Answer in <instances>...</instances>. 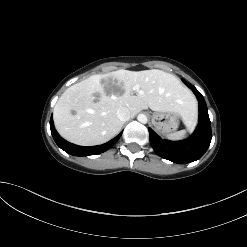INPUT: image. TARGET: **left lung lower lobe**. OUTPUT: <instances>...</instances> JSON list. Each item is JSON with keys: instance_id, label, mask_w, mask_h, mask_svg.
<instances>
[{"instance_id": "obj_1", "label": "left lung lower lobe", "mask_w": 247, "mask_h": 247, "mask_svg": "<svg viewBox=\"0 0 247 247\" xmlns=\"http://www.w3.org/2000/svg\"><path fill=\"white\" fill-rule=\"evenodd\" d=\"M184 83L193 90L199 101V124L193 135L186 140L172 142L161 139L151 128L148 129L154 151L160 157L178 164L190 163L201 158L212 138L211 123L203 96L193 85L186 81Z\"/></svg>"}]
</instances>
